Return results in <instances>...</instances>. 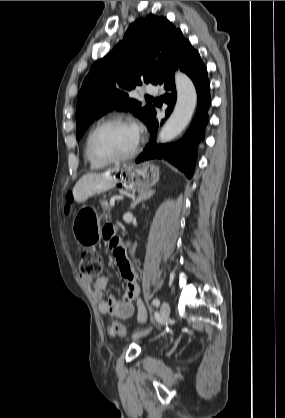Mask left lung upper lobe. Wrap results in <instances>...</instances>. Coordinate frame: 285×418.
<instances>
[{
	"label": "left lung upper lobe",
	"mask_w": 285,
	"mask_h": 418,
	"mask_svg": "<svg viewBox=\"0 0 285 418\" xmlns=\"http://www.w3.org/2000/svg\"><path fill=\"white\" fill-rule=\"evenodd\" d=\"M183 38L180 29L164 17L150 14L132 23L123 40L95 62L84 79L77 99V140L95 119L115 109L131 110L148 127L155 108L150 104L142 107L130 97V91L141 80L158 84Z\"/></svg>",
	"instance_id": "obj_1"
}]
</instances>
